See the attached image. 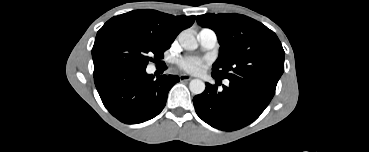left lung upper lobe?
Here are the masks:
<instances>
[{"label":"left lung upper lobe","instance_id":"5c2ea615","mask_svg":"<svg viewBox=\"0 0 369 152\" xmlns=\"http://www.w3.org/2000/svg\"><path fill=\"white\" fill-rule=\"evenodd\" d=\"M197 23L214 30L221 46L212 76L277 85L284 71V50L273 31L240 14L207 13L197 16Z\"/></svg>","mask_w":369,"mask_h":152}]
</instances>
